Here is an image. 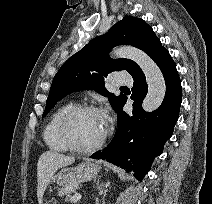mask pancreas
I'll use <instances>...</instances> for the list:
<instances>
[{"instance_id":"pancreas-1","label":"pancreas","mask_w":212,"mask_h":204,"mask_svg":"<svg viewBox=\"0 0 212 204\" xmlns=\"http://www.w3.org/2000/svg\"><path fill=\"white\" fill-rule=\"evenodd\" d=\"M78 185H71L65 188H62L58 191L59 196L63 197L65 201H70L72 198V194H76V189Z\"/></svg>"}]
</instances>
